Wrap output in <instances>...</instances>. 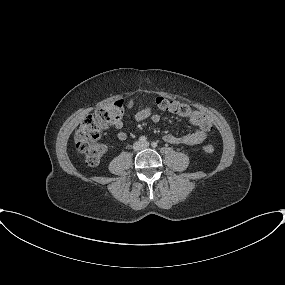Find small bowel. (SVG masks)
Segmentation results:
<instances>
[{"mask_svg":"<svg viewBox=\"0 0 285 285\" xmlns=\"http://www.w3.org/2000/svg\"><path fill=\"white\" fill-rule=\"evenodd\" d=\"M148 118H150L153 123H158L161 120V116L159 114L153 113L150 107H144L138 110L135 114V119L138 122L144 121ZM207 123L209 124L208 120ZM123 126L124 121L121 118L114 123V127L118 129L117 136L120 140H125L128 137V132L123 130ZM198 127V130L194 133L185 134L182 136L166 134L163 136V139L165 142L170 144H182L186 146H195L201 144L207 138L210 129L204 126Z\"/></svg>","mask_w":285,"mask_h":285,"instance_id":"small-bowel-1","label":"small bowel"}]
</instances>
